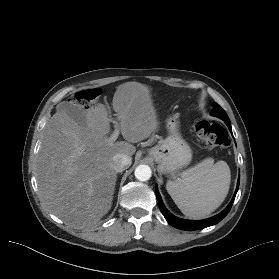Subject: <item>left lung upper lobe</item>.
<instances>
[{"mask_svg":"<svg viewBox=\"0 0 279 279\" xmlns=\"http://www.w3.org/2000/svg\"><path fill=\"white\" fill-rule=\"evenodd\" d=\"M214 107L215 108L212 112V115L222 119L226 123V125H227V123H230V120H229L226 112L220 107V105L215 103Z\"/></svg>","mask_w":279,"mask_h":279,"instance_id":"obj_1","label":"left lung upper lobe"}]
</instances>
